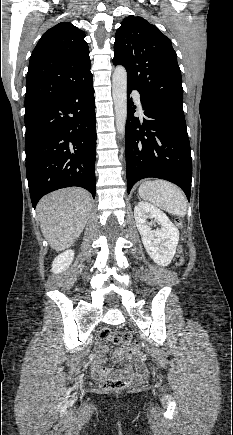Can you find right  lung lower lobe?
Masks as SVG:
<instances>
[{"label":"right lung lower lobe","instance_id":"1","mask_svg":"<svg viewBox=\"0 0 233 435\" xmlns=\"http://www.w3.org/2000/svg\"><path fill=\"white\" fill-rule=\"evenodd\" d=\"M26 174L32 205L70 186L95 198L96 118L92 74L25 113Z\"/></svg>","mask_w":233,"mask_h":435}]
</instances>
